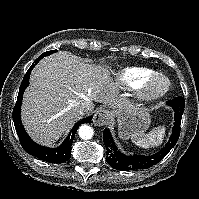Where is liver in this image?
Here are the masks:
<instances>
[{"label": "liver", "mask_w": 199, "mask_h": 199, "mask_svg": "<svg viewBox=\"0 0 199 199\" xmlns=\"http://www.w3.org/2000/svg\"><path fill=\"white\" fill-rule=\"evenodd\" d=\"M94 102L125 103L116 95L109 70L60 51L33 69L23 98V125L33 140L51 145L80 118L78 106L86 104L91 112Z\"/></svg>", "instance_id": "obj_1"}]
</instances>
